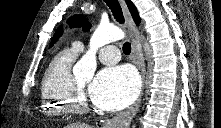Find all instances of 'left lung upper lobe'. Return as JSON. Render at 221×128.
<instances>
[{
    "label": "left lung upper lobe",
    "mask_w": 221,
    "mask_h": 128,
    "mask_svg": "<svg viewBox=\"0 0 221 128\" xmlns=\"http://www.w3.org/2000/svg\"><path fill=\"white\" fill-rule=\"evenodd\" d=\"M72 26H82L84 31H88L91 27L90 23L82 15H75L68 21Z\"/></svg>",
    "instance_id": "left-lung-upper-lobe-1"
}]
</instances>
